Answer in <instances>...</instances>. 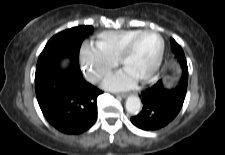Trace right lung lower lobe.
<instances>
[{
	"label": "right lung lower lobe",
	"instance_id": "obj_1",
	"mask_svg": "<svg viewBox=\"0 0 225 155\" xmlns=\"http://www.w3.org/2000/svg\"><path fill=\"white\" fill-rule=\"evenodd\" d=\"M35 90L44 117L59 131L80 134L95 123L96 99L103 92L83 79L79 63L51 69L35 82Z\"/></svg>",
	"mask_w": 225,
	"mask_h": 155
}]
</instances>
